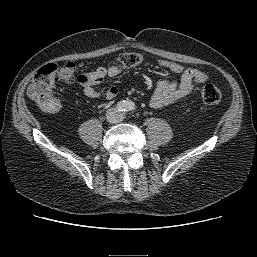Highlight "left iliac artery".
Returning <instances> with one entry per match:
<instances>
[{"instance_id": "1", "label": "left iliac artery", "mask_w": 257, "mask_h": 257, "mask_svg": "<svg viewBox=\"0 0 257 257\" xmlns=\"http://www.w3.org/2000/svg\"><path fill=\"white\" fill-rule=\"evenodd\" d=\"M136 106L132 101H127L125 106V111H133L135 110Z\"/></svg>"}]
</instances>
